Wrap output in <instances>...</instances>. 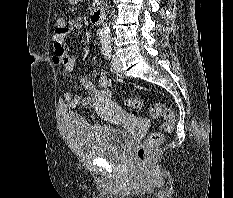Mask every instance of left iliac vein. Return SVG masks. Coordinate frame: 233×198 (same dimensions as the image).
I'll return each instance as SVG.
<instances>
[{
    "label": "left iliac vein",
    "mask_w": 233,
    "mask_h": 198,
    "mask_svg": "<svg viewBox=\"0 0 233 198\" xmlns=\"http://www.w3.org/2000/svg\"><path fill=\"white\" fill-rule=\"evenodd\" d=\"M111 67L117 73H120L122 71L121 61L116 54H114L112 57Z\"/></svg>",
    "instance_id": "left-iliac-vein-1"
}]
</instances>
